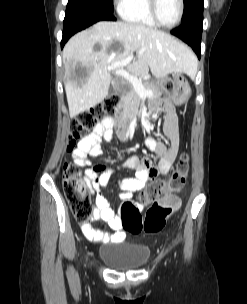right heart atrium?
Segmentation results:
<instances>
[{
  "instance_id": "1",
  "label": "right heart atrium",
  "mask_w": 247,
  "mask_h": 304,
  "mask_svg": "<svg viewBox=\"0 0 247 304\" xmlns=\"http://www.w3.org/2000/svg\"><path fill=\"white\" fill-rule=\"evenodd\" d=\"M113 1H114V4H115L119 9H121V8L125 5V3H126L127 0H113Z\"/></svg>"
}]
</instances>
